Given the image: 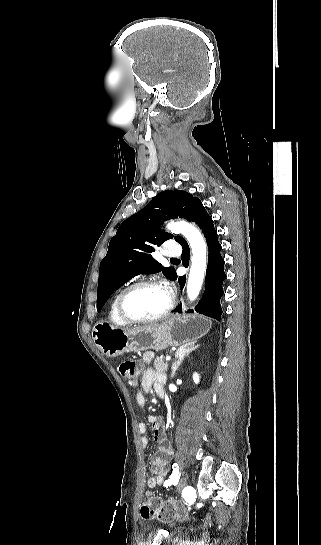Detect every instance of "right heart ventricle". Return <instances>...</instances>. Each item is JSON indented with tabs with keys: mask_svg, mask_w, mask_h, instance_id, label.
Listing matches in <instances>:
<instances>
[{
	"mask_svg": "<svg viewBox=\"0 0 321 545\" xmlns=\"http://www.w3.org/2000/svg\"><path fill=\"white\" fill-rule=\"evenodd\" d=\"M119 293L120 291L116 293L110 301L109 308H108V319L112 326L117 328H122V327H125L126 324L121 321L116 310V301H117V296Z\"/></svg>",
	"mask_w": 321,
	"mask_h": 545,
	"instance_id": "1",
	"label": "right heart ventricle"
}]
</instances>
